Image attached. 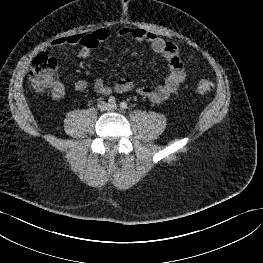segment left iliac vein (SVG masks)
<instances>
[{
    "label": "left iliac vein",
    "mask_w": 263,
    "mask_h": 263,
    "mask_svg": "<svg viewBox=\"0 0 263 263\" xmlns=\"http://www.w3.org/2000/svg\"><path fill=\"white\" fill-rule=\"evenodd\" d=\"M109 109L110 110H115V109H117V105L116 104L110 105Z\"/></svg>",
    "instance_id": "1"
}]
</instances>
